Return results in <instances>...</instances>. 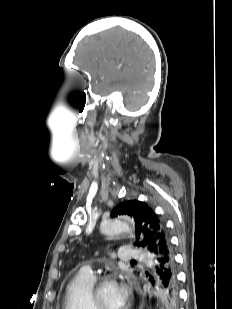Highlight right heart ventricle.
Returning <instances> with one entry per match:
<instances>
[{"label": "right heart ventricle", "mask_w": 232, "mask_h": 309, "mask_svg": "<svg viewBox=\"0 0 232 309\" xmlns=\"http://www.w3.org/2000/svg\"><path fill=\"white\" fill-rule=\"evenodd\" d=\"M94 281V276L79 271L66 287L64 309H93L90 289Z\"/></svg>", "instance_id": "e07e8e85"}]
</instances>
